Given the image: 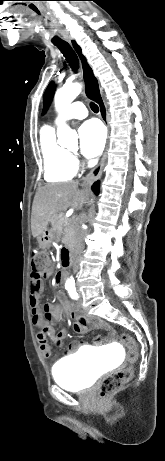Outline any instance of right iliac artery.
<instances>
[{
    "label": "right iliac artery",
    "mask_w": 165,
    "mask_h": 461,
    "mask_svg": "<svg viewBox=\"0 0 165 461\" xmlns=\"http://www.w3.org/2000/svg\"><path fill=\"white\" fill-rule=\"evenodd\" d=\"M70 288H72V287H68L67 290L70 289Z\"/></svg>",
    "instance_id": "82829eb1"
}]
</instances>
